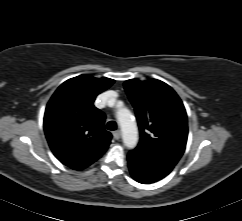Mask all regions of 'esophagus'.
<instances>
[{
	"label": "esophagus",
	"instance_id": "1",
	"mask_svg": "<svg viewBox=\"0 0 242 221\" xmlns=\"http://www.w3.org/2000/svg\"><path fill=\"white\" fill-rule=\"evenodd\" d=\"M113 136L116 140L121 138V132L119 130L113 132Z\"/></svg>",
	"mask_w": 242,
	"mask_h": 221
}]
</instances>
